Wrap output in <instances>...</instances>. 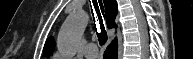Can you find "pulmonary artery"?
<instances>
[{
    "label": "pulmonary artery",
    "instance_id": "1",
    "mask_svg": "<svg viewBox=\"0 0 193 59\" xmlns=\"http://www.w3.org/2000/svg\"><path fill=\"white\" fill-rule=\"evenodd\" d=\"M85 57L88 59H93L97 56V46L94 43H89L84 51Z\"/></svg>",
    "mask_w": 193,
    "mask_h": 59
}]
</instances>
